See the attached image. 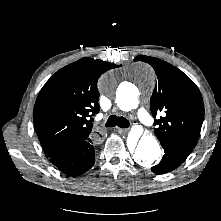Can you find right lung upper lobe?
Instances as JSON below:
<instances>
[{
  "mask_svg": "<svg viewBox=\"0 0 221 221\" xmlns=\"http://www.w3.org/2000/svg\"><path fill=\"white\" fill-rule=\"evenodd\" d=\"M120 67L82 58L57 71L38 94L33 121L48 157L91 137L94 114L99 112L97 81L109 69Z\"/></svg>",
  "mask_w": 221,
  "mask_h": 221,
  "instance_id": "1",
  "label": "right lung upper lobe"
}]
</instances>
